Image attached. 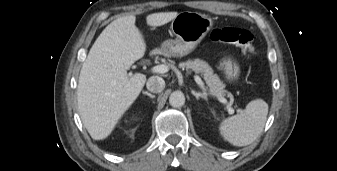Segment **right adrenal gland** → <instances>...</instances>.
Returning <instances> with one entry per match:
<instances>
[{
    "instance_id": "2a0ac1e0",
    "label": "right adrenal gland",
    "mask_w": 337,
    "mask_h": 171,
    "mask_svg": "<svg viewBox=\"0 0 337 171\" xmlns=\"http://www.w3.org/2000/svg\"><path fill=\"white\" fill-rule=\"evenodd\" d=\"M142 93L145 94V95H147V96H149L152 99L155 98V95H152L151 93H149L147 91H143Z\"/></svg>"
}]
</instances>
